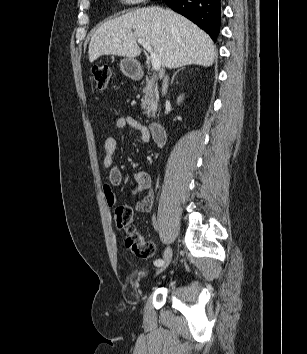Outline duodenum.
<instances>
[{
	"mask_svg": "<svg viewBox=\"0 0 307 354\" xmlns=\"http://www.w3.org/2000/svg\"><path fill=\"white\" fill-rule=\"evenodd\" d=\"M148 127L154 142L158 146L164 145L167 141V133L165 127L156 122L150 123Z\"/></svg>",
	"mask_w": 307,
	"mask_h": 354,
	"instance_id": "1",
	"label": "duodenum"
}]
</instances>
